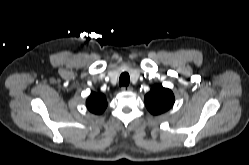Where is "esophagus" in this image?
Returning a JSON list of instances; mask_svg holds the SVG:
<instances>
[{
  "label": "esophagus",
  "mask_w": 249,
  "mask_h": 165,
  "mask_svg": "<svg viewBox=\"0 0 249 165\" xmlns=\"http://www.w3.org/2000/svg\"><path fill=\"white\" fill-rule=\"evenodd\" d=\"M121 90H122L123 92H132V91H133V87H132V86H123V87L121 88Z\"/></svg>",
  "instance_id": "34e87169"
}]
</instances>
